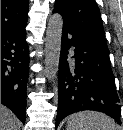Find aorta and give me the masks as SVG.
<instances>
[{
    "instance_id": "aorta-1",
    "label": "aorta",
    "mask_w": 123,
    "mask_h": 130,
    "mask_svg": "<svg viewBox=\"0 0 123 130\" xmlns=\"http://www.w3.org/2000/svg\"><path fill=\"white\" fill-rule=\"evenodd\" d=\"M63 18L54 13L48 21L45 43V75L48 80L56 78L59 70Z\"/></svg>"
}]
</instances>
